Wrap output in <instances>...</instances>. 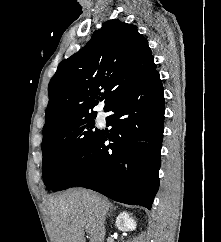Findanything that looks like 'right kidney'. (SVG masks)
Masks as SVG:
<instances>
[{
    "mask_svg": "<svg viewBox=\"0 0 221 242\" xmlns=\"http://www.w3.org/2000/svg\"><path fill=\"white\" fill-rule=\"evenodd\" d=\"M115 225L120 231L123 232L133 231L136 229L135 220L130 217V215L126 211L121 212L117 216Z\"/></svg>",
    "mask_w": 221,
    "mask_h": 242,
    "instance_id": "obj_1",
    "label": "right kidney"
}]
</instances>
